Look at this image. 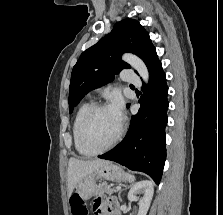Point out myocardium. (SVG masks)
I'll return each mask as SVG.
<instances>
[{
  "instance_id": "obj_1",
  "label": "myocardium",
  "mask_w": 223,
  "mask_h": 215,
  "mask_svg": "<svg viewBox=\"0 0 223 215\" xmlns=\"http://www.w3.org/2000/svg\"><path fill=\"white\" fill-rule=\"evenodd\" d=\"M103 109H108V106L102 103L94 104L90 110L87 112L86 116L84 117L81 127H80V140L82 145L88 149L93 155L101 154L105 151L113 149L121 140L124 132V127L122 123L120 122V128L116 135V137L113 139V141L108 144L107 146L103 148H95L91 145L88 137L89 127L90 124L94 118V116Z\"/></svg>"
}]
</instances>
